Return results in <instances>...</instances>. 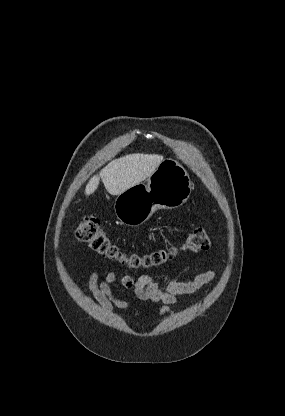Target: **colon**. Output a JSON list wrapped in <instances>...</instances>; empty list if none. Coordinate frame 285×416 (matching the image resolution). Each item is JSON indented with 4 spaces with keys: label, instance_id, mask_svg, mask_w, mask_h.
I'll return each instance as SVG.
<instances>
[{
    "label": "colon",
    "instance_id": "obj_1",
    "mask_svg": "<svg viewBox=\"0 0 285 416\" xmlns=\"http://www.w3.org/2000/svg\"><path fill=\"white\" fill-rule=\"evenodd\" d=\"M74 236L88 248L103 258L118 262L129 269L159 267L171 260L177 253L176 248L160 249L145 255L124 253L101 228L94 216L85 217L75 228ZM210 246V236L206 229L193 230L184 240L181 249L187 252H201Z\"/></svg>",
    "mask_w": 285,
    "mask_h": 416
}]
</instances>
